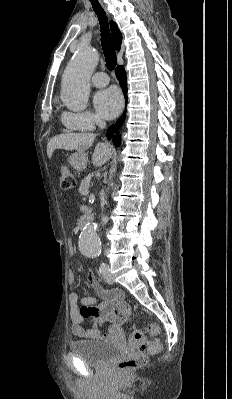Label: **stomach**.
Segmentation results:
<instances>
[{
    "label": "stomach",
    "mask_w": 232,
    "mask_h": 399,
    "mask_svg": "<svg viewBox=\"0 0 232 399\" xmlns=\"http://www.w3.org/2000/svg\"><path fill=\"white\" fill-rule=\"evenodd\" d=\"M69 164L74 170H77V172H82L88 164V156L87 154H83V152H76V154L70 156Z\"/></svg>",
    "instance_id": "stomach-1"
}]
</instances>
